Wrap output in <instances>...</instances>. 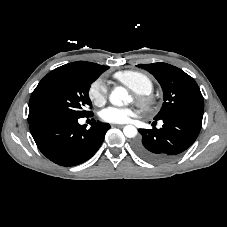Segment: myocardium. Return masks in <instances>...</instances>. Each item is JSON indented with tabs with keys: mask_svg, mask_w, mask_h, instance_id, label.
<instances>
[{
	"mask_svg": "<svg viewBox=\"0 0 227 227\" xmlns=\"http://www.w3.org/2000/svg\"><path fill=\"white\" fill-rule=\"evenodd\" d=\"M136 100L138 104L146 111H152L157 106V100L150 94H137Z\"/></svg>",
	"mask_w": 227,
	"mask_h": 227,
	"instance_id": "f54148a6",
	"label": "myocardium"
}]
</instances>
